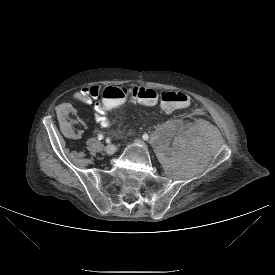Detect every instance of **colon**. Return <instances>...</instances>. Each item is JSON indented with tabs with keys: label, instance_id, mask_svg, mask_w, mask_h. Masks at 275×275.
Returning <instances> with one entry per match:
<instances>
[{
	"label": "colon",
	"instance_id": "1",
	"mask_svg": "<svg viewBox=\"0 0 275 275\" xmlns=\"http://www.w3.org/2000/svg\"><path fill=\"white\" fill-rule=\"evenodd\" d=\"M103 95L102 106L108 112L115 111L119 103L124 102L126 99H131L136 103L144 105H155L159 103L165 112L185 108L190 103L189 96L184 92L167 91L158 93L153 89L140 86L130 88L110 87L104 91Z\"/></svg>",
	"mask_w": 275,
	"mask_h": 275
}]
</instances>
